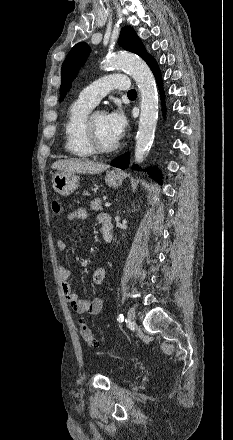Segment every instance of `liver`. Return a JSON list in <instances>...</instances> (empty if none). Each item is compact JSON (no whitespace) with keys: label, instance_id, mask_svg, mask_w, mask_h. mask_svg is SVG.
I'll list each match as a JSON object with an SVG mask.
<instances>
[{"label":"liver","instance_id":"1","mask_svg":"<svg viewBox=\"0 0 233 440\" xmlns=\"http://www.w3.org/2000/svg\"><path fill=\"white\" fill-rule=\"evenodd\" d=\"M51 168L65 173L97 174L105 171L109 166L86 159H69L58 160L52 164Z\"/></svg>","mask_w":233,"mask_h":440}]
</instances>
